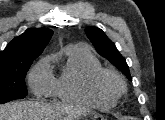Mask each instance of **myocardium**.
<instances>
[{
  "mask_svg": "<svg viewBox=\"0 0 165 120\" xmlns=\"http://www.w3.org/2000/svg\"><path fill=\"white\" fill-rule=\"evenodd\" d=\"M113 82V85L107 84V81ZM92 91L103 97L117 99L125 91V82L122 76L112 69L101 68L91 77Z\"/></svg>",
  "mask_w": 165,
  "mask_h": 120,
  "instance_id": "obj_1",
  "label": "myocardium"
}]
</instances>
